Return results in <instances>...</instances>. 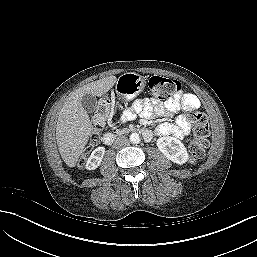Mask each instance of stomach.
<instances>
[{
	"label": "stomach",
	"instance_id": "obj_1",
	"mask_svg": "<svg viewBox=\"0 0 257 257\" xmlns=\"http://www.w3.org/2000/svg\"><path fill=\"white\" fill-rule=\"evenodd\" d=\"M145 87V78L137 73L122 74L116 83L117 94L126 100L137 97Z\"/></svg>",
	"mask_w": 257,
	"mask_h": 257
}]
</instances>
